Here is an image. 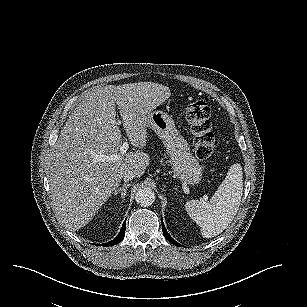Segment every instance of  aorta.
I'll use <instances>...</instances> for the list:
<instances>
[{"label": "aorta", "instance_id": "aorta-1", "mask_svg": "<svg viewBox=\"0 0 307 307\" xmlns=\"http://www.w3.org/2000/svg\"><path fill=\"white\" fill-rule=\"evenodd\" d=\"M137 204L142 207H148L155 201V193L150 187L140 188L135 194Z\"/></svg>", "mask_w": 307, "mask_h": 307}]
</instances>
